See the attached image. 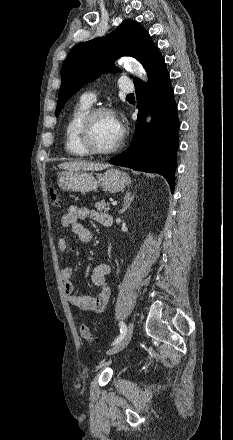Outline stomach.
<instances>
[{"label":"stomach","mask_w":233,"mask_h":440,"mask_svg":"<svg viewBox=\"0 0 233 440\" xmlns=\"http://www.w3.org/2000/svg\"><path fill=\"white\" fill-rule=\"evenodd\" d=\"M130 181L126 173L111 168L97 178L86 171H64L58 175L57 184L65 191L90 192L100 186L106 192L117 193Z\"/></svg>","instance_id":"obj_1"}]
</instances>
